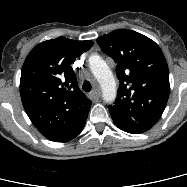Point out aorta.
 <instances>
[{
  "instance_id": "obj_1",
  "label": "aorta",
  "mask_w": 187,
  "mask_h": 187,
  "mask_svg": "<svg viewBox=\"0 0 187 187\" xmlns=\"http://www.w3.org/2000/svg\"><path fill=\"white\" fill-rule=\"evenodd\" d=\"M89 67L102 89L103 100L111 103L116 98V83L107 63L99 56L92 55L89 58Z\"/></svg>"
}]
</instances>
